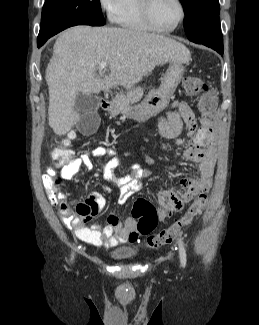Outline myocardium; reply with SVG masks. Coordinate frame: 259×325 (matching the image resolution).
<instances>
[{
    "mask_svg": "<svg viewBox=\"0 0 259 325\" xmlns=\"http://www.w3.org/2000/svg\"><path fill=\"white\" fill-rule=\"evenodd\" d=\"M179 9H180V16L177 20V22L175 23V25L169 29H162L160 27H158L152 17H151V3L152 0H140V8H141V13H142V17L145 21V23L148 25V27L156 32H160V33H172L174 32L184 21L185 16H186V10H185V5L183 3L182 0H176Z\"/></svg>",
    "mask_w": 259,
    "mask_h": 325,
    "instance_id": "obj_1",
    "label": "myocardium"
}]
</instances>
